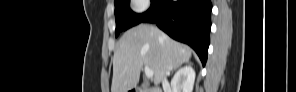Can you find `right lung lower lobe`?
<instances>
[{
    "instance_id": "right-lung-lower-lobe-1",
    "label": "right lung lower lobe",
    "mask_w": 296,
    "mask_h": 92,
    "mask_svg": "<svg viewBox=\"0 0 296 92\" xmlns=\"http://www.w3.org/2000/svg\"><path fill=\"white\" fill-rule=\"evenodd\" d=\"M211 9L210 0H159L140 23H156L172 38L190 45L205 65Z\"/></svg>"
}]
</instances>
